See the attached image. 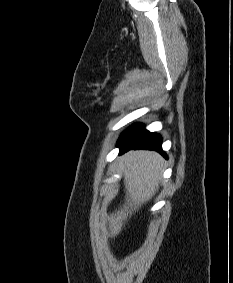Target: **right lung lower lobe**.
<instances>
[{
  "mask_svg": "<svg viewBox=\"0 0 233 283\" xmlns=\"http://www.w3.org/2000/svg\"><path fill=\"white\" fill-rule=\"evenodd\" d=\"M162 138L159 134L150 133L145 130L142 124H134L125 131L117 142L120 154L131 149L155 150L167 158L161 148Z\"/></svg>",
  "mask_w": 233,
  "mask_h": 283,
  "instance_id": "obj_1",
  "label": "right lung lower lobe"
}]
</instances>
